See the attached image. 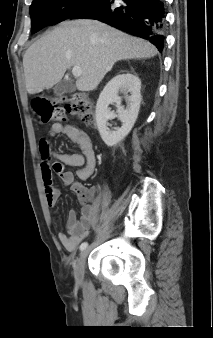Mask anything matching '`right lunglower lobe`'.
Segmentation results:
<instances>
[{
  "mask_svg": "<svg viewBox=\"0 0 213 338\" xmlns=\"http://www.w3.org/2000/svg\"><path fill=\"white\" fill-rule=\"evenodd\" d=\"M70 18L97 19L129 34L164 46V0H95Z\"/></svg>",
  "mask_w": 213,
  "mask_h": 338,
  "instance_id": "obj_1",
  "label": "right lung lower lobe"
}]
</instances>
